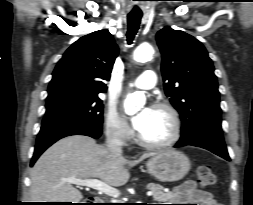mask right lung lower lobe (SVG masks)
<instances>
[{
	"label": "right lung lower lobe",
	"instance_id": "98d812e1",
	"mask_svg": "<svg viewBox=\"0 0 253 205\" xmlns=\"http://www.w3.org/2000/svg\"><path fill=\"white\" fill-rule=\"evenodd\" d=\"M102 133L101 127L89 126L76 123H54L43 124L37 137L34 155L31 166L38 157L57 140L70 135H86L99 138Z\"/></svg>",
	"mask_w": 253,
	"mask_h": 205
}]
</instances>
